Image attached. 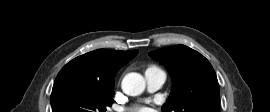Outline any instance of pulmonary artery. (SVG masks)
Segmentation results:
<instances>
[{"label": "pulmonary artery", "mask_w": 270, "mask_h": 112, "mask_svg": "<svg viewBox=\"0 0 270 112\" xmlns=\"http://www.w3.org/2000/svg\"><path fill=\"white\" fill-rule=\"evenodd\" d=\"M145 80L149 92L157 91L166 80V73L159 68H149L145 71Z\"/></svg>", "instance_id": "pulmonary-artery-1"}]
</instances>
